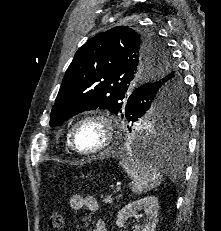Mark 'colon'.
Listing matches in <instances>:
<instances>
[{
	"instance_id": "5ec220e1",
	"label": "colon",
	"mask_w": 221,
	"mask_h": 231,
	"mask_svg": "<svg viewBox=\"0 0 221 231\" xmlns=\"http://www.w3.org/2000/svg\"><path fill=\"white\" fill-rule=\"evenodd\" d=\"M64 223H65V216L63 211L55 210L50 216L49 225L53 228H61L63 227Z\"/></svg>"
}]
</instances>
